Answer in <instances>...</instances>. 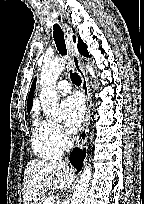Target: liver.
I'll return each instance as SVG.
<instances>
[{
	"mask_svg": "<svg viewBox=\"0 0 144 204\" xmlns=\"http://www.w3.org/2000/svg\"><path fill=\"white\" fill-rule=\"evenodd\" d=\"M75 170L63 161L34 159L27 163L23 179V203L37 204L45 192L70 188Z\"/></svg>",
	"mask_w": 144,
	"mask_h": 204,
	"instance_id": "1",
	"label": "liver"
}]
</instances>
